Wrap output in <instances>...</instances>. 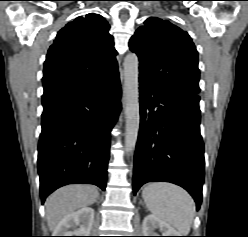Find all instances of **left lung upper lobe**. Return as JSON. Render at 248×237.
<instances>
[{
    "mask_svg": "<svg viewBox=\"0 0 248 237\" xmlns=\"http://www.w3.org/2000/svg\"><path fill=\"white\" fill-rule=\"evenodd\" d=\"M140 61V78L164 91L198 94V53L187 32L150 17L129 41Z\"/></svg>",
    "mask_w": 248,
    "mask_h": 237,
    "instance_id": "5c2ea615",
    "label": "left lung upper lobe"
}]
</instances>
